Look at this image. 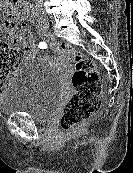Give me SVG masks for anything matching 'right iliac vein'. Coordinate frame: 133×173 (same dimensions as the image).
<instances>
[{
    "mask_svg": "<svg viewBox=\"0 0 133 173\" xmlns=\"http://www.w3.org/2000/svg\"><path fill=\"white\" fill-rule=\"evenodd\" d=\"M36 14L41 19V21L43 22L44 26L47 28L48 27V20H47V18L44 17L42 15V13H40L39 11H37Z\"/></svg>",
    "mask_w": 133,
    "mask_h": 173,
    "instance_id": "right-iliac-vein-1",
    "label": "right iliac vein"
}]
</instances>
